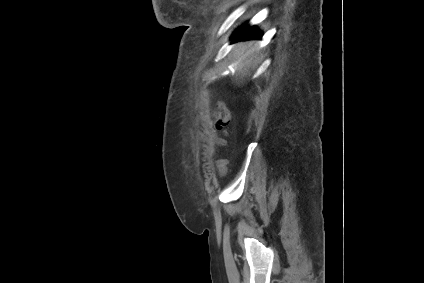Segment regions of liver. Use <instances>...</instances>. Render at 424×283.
I'll use <instances>...</instances> for the list:
<instances>
[{"instance_id":"1","label":"liver","mask_w":424,"mask_h":283,"mask_svg":"<svg viewBox=\"0 0 424 283\" xmlns=\"http://www.w3.org/2000/svg\"><path fill=\"white\" fill-rule=\"evenodd\" d=\"M244 50V45L242 43L238 44L235 48V51L238 53H242Z\"/></svg>"}]
</instances>
